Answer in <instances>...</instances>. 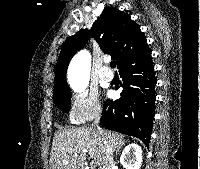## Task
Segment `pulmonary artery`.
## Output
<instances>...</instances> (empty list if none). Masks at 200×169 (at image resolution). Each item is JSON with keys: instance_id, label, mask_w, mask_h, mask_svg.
Segmentation results:
<instances>
[{"instance_id": "1", "label": "pulmonary artery", "mask_w": 200, "mask_h": 169, "mask_svg": "<svg viewBox=\"0 0 200 169\" xmlns=\"http://www.w3.org/2000/svg\"><path fill=\"white\" fill-rule=\"evenodd\" d=\"M99 76H100L101 80H103L104 82H110L113 80V77H114L113 73L107 66L103 68V70L100 72Z\"/></svg>"}]
</instances>
